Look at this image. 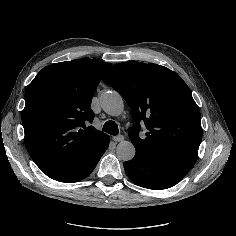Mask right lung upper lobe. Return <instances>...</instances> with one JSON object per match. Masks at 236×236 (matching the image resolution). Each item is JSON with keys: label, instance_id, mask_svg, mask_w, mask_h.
Masks as SVG:
<instances>
[{"label": "right lung upper lobe", "instance_id": "right-lung-upper-lobe-1", "mask_svg": "<svg viewBox=\"0 0 236 236\" xmlns=\"http://www.w3.org/2000/svg\"><path fill=\"white\" fill-rule=\"evenodd\" d=\"M110 66L91 59L55 63L27 87L22 112L25 145L48 177L58 179L109 137L89 123L94 119L92 96Z\"/></svg>", "mask_w": 236, "mask_h": 236}]
</instances>
